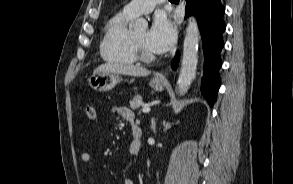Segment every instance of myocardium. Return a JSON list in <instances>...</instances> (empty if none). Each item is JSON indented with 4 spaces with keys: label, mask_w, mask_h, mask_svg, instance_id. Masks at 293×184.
<instances>
[{
    "label": "myocardium",
    "mask_w": 293,
    "mask_h": 184,
    "mask_svg": "<svg viewBox=\"0 0 293 184\" xmlns=\"http://www.w3.org/2000/svg\"><path fill=\"white\" fill-rule=\"evenodd\" d=\"M131 42H132L133 52L137 60L141 62H145V63H150L156 60L155 55L147 54L146 52H144L140 44L135 40L133 36H131Z\"/></svg>",
    "instance_id": "f54148a6"
}]
</instances>
